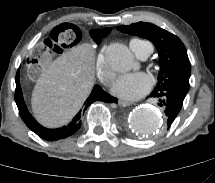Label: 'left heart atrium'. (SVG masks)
I'll return each mask as SVG.
<instances>
[{"instance_id":"left-heart-atrium-1","label":"left heart atrium","mask_w":215,"mask_h":183,"mask_svg":"<svg viewBox=\"0 0 215 183\" xmlns=\"http://www.w3.org/2000/svg\"><path fill=\"white\" fill-rule=\"evenodd\" d=\"M151 88V80L145 73L121 75L113 83L111 91L118 97L135 100L145 95Z\"/></svg>"}]
</instances>
